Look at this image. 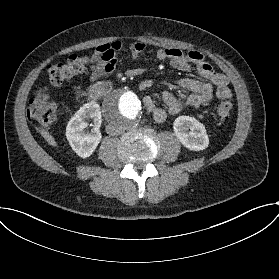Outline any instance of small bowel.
<instances>
[{
	"label": "small bowel",
	"mask_w": 279,
	"mask_h": 279,
	"mask_svg": "<svg viewBox=\"0 0 279 279\" xmlns=\"http://www.w3.org/2000/svg\"><path fill=\"white\" fill-rule=\"evenodd\" d=\"M122 44L119 41L98 45L89 59L90 81L95 83L110 76L123 64L120 56ZM145 50L141 42L130 46L132 58L139 57ZM157 60H169L171 65L181 71H189L192 66L196 67L197 73L206 81L183 78L176 82L178 90L170 92L160 89L161 98L165 108L156 104L155 100L146 96L143 104L157 122H163L168 116L178 114L184 107L201 109L208 106L217 96L220 99L230 98L232 95L229 81L226 76L216 72L208 64L201 52L190 50L184 52L176 47L161 48L156 51ZM140 90L159 88L158 83L145 78L139 83Z\"/></svg>",
	"instance_id": "c3829d8e"
}]
</instances>
